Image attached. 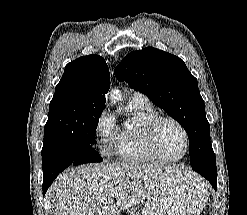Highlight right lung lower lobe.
<instances>
[{"instance_id":"1","label":"right lung lower lobe","mask_w":247,"mask_h":215,"mask_svg":"<svg viewBox=\"0 0 247 215\" xmlns=\"http://www.w3.org/2000/svg\"><path fill=\"white\" fill-rule=\"evenodd\" d=\"M102 160V157L91 145L80 144L75 140L58 141L50 149H42L43 194L57 175L69 165L101 162Z\"/></svg>"}]
</instances>
